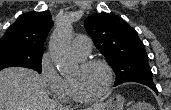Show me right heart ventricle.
I'll return each mask as SVG.
<instances>
[{
	"label": "right heart ventricle",
	"mask_w": 171,
	"mask_h": 110,
	"mask_svg": "<svg viewBox=\"0 0 171 110\" xmlns=\"http://www.w3.org/2000/svg\"><path fill=\"white\" fill-rule=\"evenodd\" d=\"M57 98L59 100H62V101H67V100L71 99L70 92H69L68 81L66 79H63L61 92L57 96Z\"/></svg>",
	"instance_id": "1"
}]
</instances>
